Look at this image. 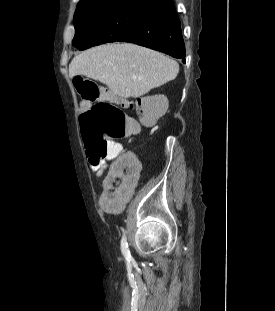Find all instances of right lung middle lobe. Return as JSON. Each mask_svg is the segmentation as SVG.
I'll use <instances>...</instances> for the list:
<instances>
[{
	"instance_id": "1",
	"label": "right lung middle lobe",
	"mask_w": 275,
	"mask_h": 311,
	"mask_svg": "<svg viewBox=\"0 0 275 311\" xmlns=\"http://www.w3.org/2000/svg\"><path fill=\"white\" fill-rule=\"evenodd\" d=\"M152 0H84L74 15L73 46L84 50L122 38L138 20L162 6Z\"/></svg>"
}]
</instances>
